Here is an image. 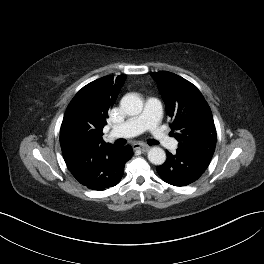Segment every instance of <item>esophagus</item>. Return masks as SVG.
I'll return each mask as SVG.
<instances>
[{"instance_id":"obj_1","label":"esophagus","mask_w":264,"mask_h":264,"mask_svg":"<svg viewBox=\"0 0 264 264\" xmlns=\"http://www.w3.org/2000/svg\"><path fill=\"white\" fill-rule=\"evenodd\" d=\"M149 148H150V147H149L148 145H146V144H141V143H135V144L133 145V149H134V150H141V151H144V152L148 151Z\"/></svg>"}]
</instances>
